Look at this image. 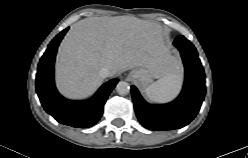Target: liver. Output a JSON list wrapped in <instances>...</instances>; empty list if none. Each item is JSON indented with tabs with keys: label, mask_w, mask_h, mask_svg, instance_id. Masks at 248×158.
<instances>
[{
	"label": "liver",
	"mask_w": 248,
	"mask_h": 158,
	"mask_svg": "<svg viewBox=\"0 0 248 158\" xmlns=\"http://www.w3.org/2000/svg\"><path fill=\"white\" fill-rule=\"evenodd\" d=\"M110 77L135 67H145L154 78L178 68L164 45L161 26L133 16L90 17L76 22L60 44L56 83L62 94L81 99L101 85L99 71ZM169 68V70H168Z\"/></svg>",
	"instance_id": "liver-1"
}]
</instances>
